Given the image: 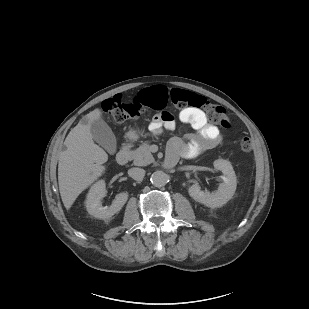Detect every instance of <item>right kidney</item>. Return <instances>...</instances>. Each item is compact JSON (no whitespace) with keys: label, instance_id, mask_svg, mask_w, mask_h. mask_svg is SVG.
Returning <instances> with one entry per match:
<instances>
[{"label":"right kidney","instance_id":"1","mask_svg":"<svg viewBox=\"0 0 309 309\" xmlns=\"http://www.w3.org/2000/svg\"><path fill=\"white\" fill-rule=\"evenodd\" d=\"M106 185L104 180H99L93 184L87 195L85 202L88 213L98 219H110L118 213L128 200V193L121 192L116 195L110 207H102L101 199L106 196Z\"/></svg>","mask_w":309,"mask_h":309}]
</instances>
